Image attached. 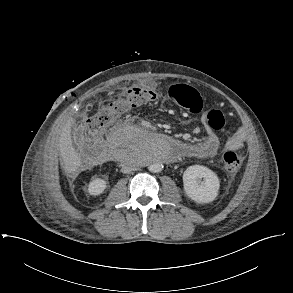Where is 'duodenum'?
<instances>
[{"label": "duodenum", "instance_id": "duodenum-1", "mask_svg": "<svg viewBox=\"0 0 293 293\" xmlns=\"http://www.w3.org/2000/svg\"><path fill=\"white\" fill-rule=\"evenodd\" d=\"M166 139L173 145V147L175 149V153L173 156H171L169 158H163L162 159L163 161L172 163L177 160L178 156H182V153L184 151H187L189 149L188 144L182 140L176 139L172 136H167Z\"/></svg>", "mask_w": 293, "mask_h": 293}]
</instances>
